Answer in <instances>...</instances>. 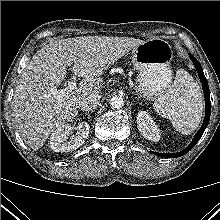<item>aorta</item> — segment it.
I'll list each match as a JSON object with an SVG mask.
<instances>
[{
  "label": "aorta",
  "mask_w": 220,
  "mask_h": 220,
  "mask_svg": "<svg viewBox=\"0 0 220 220\" xmlns=\"http://www.w3.org/2000/svg\"><path fill=\"white\" fill-rule=\"evenodd\" d=\"M110 106L113 109H120L124 106V99L121 96L114 95L110 99Z\"/></svg>",
  "instance_id": "aorta-1"
}]
</instances>
